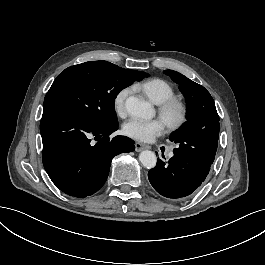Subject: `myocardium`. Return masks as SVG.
Segmentation results:
<instances>
[{"label": "myocardium", "mask_w": 265, "mask_h": 265, "mask_svg": "<svg viewBox=\"0 0 265 265\" xmlns=\"http://www.w3.org/2000/svg\"><path fill=\"white\" fill-rule=\"evenodd\" d=\"M158 114L170 131H177L187 123L189 109L182 99L173 96L159 104Z\"/></svg>", "instance_id": "f54148a6"}]
</instances>
